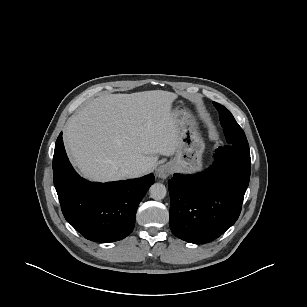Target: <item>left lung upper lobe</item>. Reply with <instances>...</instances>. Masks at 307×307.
Instances as JSON below:
<instances>
[{
	"mask_svg": "<svg viewBox=\"0 0 307 307\" xmlns=\"http://www.w3.org/2000/svg\"><path fill=\"white\" fill-rule=\"evenodd\" d=\"M219 112L220 122L226 134L228 145L238 147L244 151H249L248 141L245 133L235 121L233 115L222 105L213 102Z\"/></svg>",
	"mask_w": 307,
	"mask_h": 307,
	"instance_id": "5c2ea615",
	"label": "left lung upper lobe"
}]
</instances>
